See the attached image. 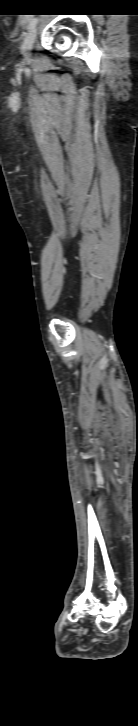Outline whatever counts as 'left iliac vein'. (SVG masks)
<instances>
[{
    "instance_id": "left-iliac-vein-1",
    "label": "left iliac vein",
    "mask_w": 138,
    "mask_h": 726,
    "mask_svg": "<svg viewBox=\"0 0 138 726\" xmlns=\"http://www.w3.org/2000/svg\"><path fill=\"white\" fill-rule=\"evenodd\" d=\"M36 35H37V28L33 27L30 29V31L28 32V34L26 35V37L23 41L21 51L27 59L30 58V51L33 48V44H34Z\"/></svg>"
}]
</instances>
